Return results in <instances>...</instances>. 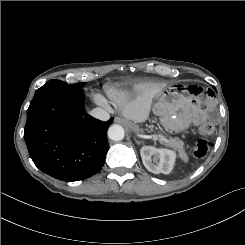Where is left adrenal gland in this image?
<instances>
[{"label": "left adrenal gland", "instance_id": "obj_1", "mask_svg": "<svg viewBox=\"0 0 245 245\" xmlns=\"http://www.w3.org/2000/svg\"><path fill=\"white\" fill-rule=\"evenodd\" d=\"M138 144H140V142L139 141H136Z\"/></svg>", "mask_w": 245, "mask_h": 245}]
</instances>
